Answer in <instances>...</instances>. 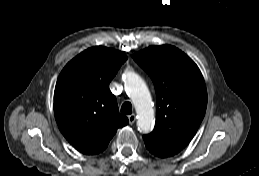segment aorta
<instances>
[{
  "label": "aorta",
  "mask_w": 259,
  "mask_h": 176,
  "mask_svg": "<svg viewBox=\"0 0 259 176\" xmlns=\"http://www.w3.org/2000/svg\"><path fill=\"white\" fill-rule=\"evenodd\" d=\"M125 88L137 112L138 130L148 133L154 126V110L146 83L137 73L129 71L125 78Z\"/></svg>",
  "instance_id": "762f6f07"
}]
</instances>
